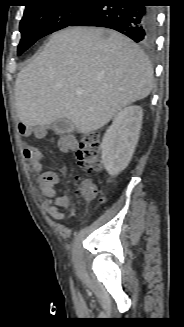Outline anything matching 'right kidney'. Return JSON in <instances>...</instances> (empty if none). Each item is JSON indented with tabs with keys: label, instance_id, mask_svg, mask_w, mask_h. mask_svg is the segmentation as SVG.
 I'll list each match as a JSON object with an SVG mask.
<instances>
[{
	"label": "right kidney",
	"instance_id": "obj_1",
	"mask_svg": "<svg viewBox=\"0 0 184 327\" xmlns=\"http://www.w3.org/2000/svg\"><path fill=\"white\" fill-rule=\"evenodd\" d=\"M142 118L143 110L136 105L123 108L114 117L101 143L102 163L109 174H118L128 166L139 140Z\"/></svg>",
	"mask_w": 184,
	"mask_h": 327
}]
</instances>
